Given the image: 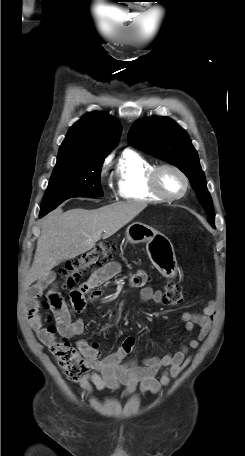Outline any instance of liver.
I'll list each match as a JSON object with an SVG mask.
<instances>
[{"mask_svg":"<svg viewBox=\"0 0 245 456\" xmlns=\"http://www.w3.org/2000/svg\"><path fill=\"white\" fill-rule=\"evenodd\" d=\"M147 207L145 202L127 201L94 210L57 209L41 220L34 261L25 279V289L36 280L45 279L51 269L65 260L91 250L132 221Z\"/></svg>","mask_w":245,"mask_h":456,"instance_id":"liver-1","label":"liver"}]
</instances>
